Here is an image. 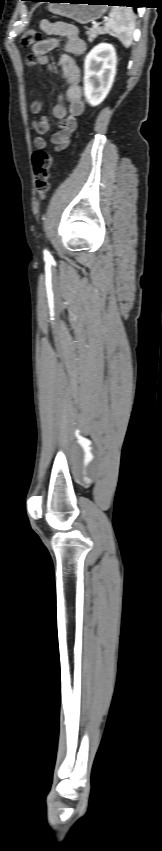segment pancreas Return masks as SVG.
<instances>
[{
  "label": "pancreas",
  "instance_id": "obj_1",
  "mask_svg": "<svg viewBox=\"0 0 162 851\" xmlns=\"http://www.w3.org/2000/svg\"><path fill=\"white\" fill-rule=\"evenodd\" d=\"M104 33H105V31L101 27H96V28L93 27L86 32L89 42H92L95 38H97L99 35H102Z\"/></svg>",
  "mask_w": 162,
  "mask_h": 851
}]
</instances>
